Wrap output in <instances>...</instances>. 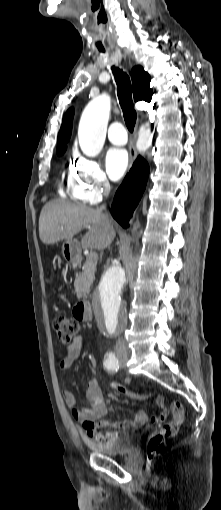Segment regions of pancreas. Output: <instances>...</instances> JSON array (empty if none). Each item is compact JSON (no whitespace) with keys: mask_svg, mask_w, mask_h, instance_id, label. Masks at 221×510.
<instances>
[{"mask_svg":"<svg viewBox=\"0 0 221 510\" xmlns=\"http://www.w3.org/2000/svg\"><path fill=\"white\" fill-rule=\"evenodd\" d=\"M96 265L97 262L93 264L85 262L82 272L76 275L74 287L79 297H86L89 294L90 286L95 279Z\"/></svg>","mask_w":221,"mask_h":510,"instance_id":"pancreas-1","label":"pancreas"}]
</instances>
